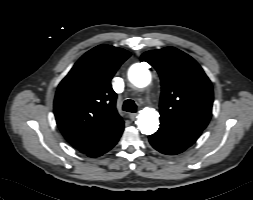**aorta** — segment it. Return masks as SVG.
I'll list each match as a JSON object with an SVG mask.
<instances>
[{
  "mask_svg": "<svg viewBox=\"0 0 253 200\" xmlns=\"http://www.w3.org/2000/svg\"><path fill=\"white\" fill-rule=\"evenodd\" d=\"M128 78L136 87L144 88L150 83L151 74L144 64L137 63L130 67ZM137 126L143 134L151 135L155 133L159 127L158 112L153 108H144L139 112Z\"/></svg>",
  "mask_w": 253,
  "mask_h": 200,
  "instance_id": "1",
  "label": "aorta"
}]
</instances>
